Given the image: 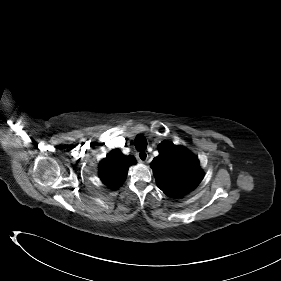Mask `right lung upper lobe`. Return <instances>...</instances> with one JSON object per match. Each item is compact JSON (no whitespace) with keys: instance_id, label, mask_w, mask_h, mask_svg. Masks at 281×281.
I'll return each mask as SVG.
<instances>
[{"instance_id":"obj_1","label":"right lung upper lobe","mask_w":281,"mask_h":281,"mask_svg":"<svg viewBox=\"0 0 281 281\" xmlns=\"http://www.w3.org/2000/svg\"><path fill=\"white\" fill-rule=\"evenodd\" d=\"M135 163L134 157L114 149L100 162L99 177L110 188H119L126 179L129 166Z\"/></svg>"}]
</instances>
